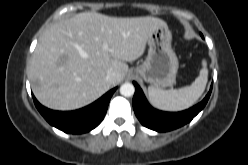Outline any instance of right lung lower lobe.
Here are the masks:
<instances>
[{
  "label": "right lung lower lobe",
  "instance_id": "98d812e1",
  "mask_svg": "<svg viewBox=\"0 0 248 165\" xmlns=\"http://www.w3.org/2000/svg\"><path fill=\"white\" fill-rule=\"evenodd\" d=\"M116 88L110 90L91 105L70 112L53 111L42 106L33 96L35 106L41 115L54 127L72 134L89 132L103 120L109 101Z\"/></svg>",
  "mask_w": 248,
  "mask_h": 165
}]
</instances>
